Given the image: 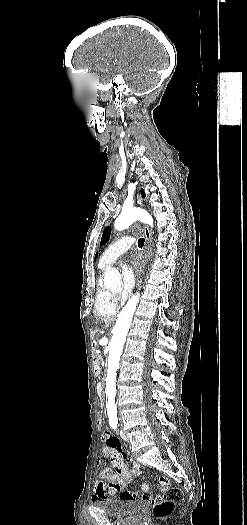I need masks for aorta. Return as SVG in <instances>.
<instances>
[{
	"mask_svg": "<svg viewBox=\"0 0 247 525\" xmlns=\"http://www.w3.org/2000/svg\"><path fill=\"white\" fill-rule=\"evenodd\" d=\"M137 220L151 226L153 224V218L148 212L141 208H131L122 211L115 220L114 227L116 230L121 231L128 228ZM103 281L107 287H117L121 283V276L118 270L109 268L104 275ZM138 302L139 294L137 293L127 302L119 314L115 327L112 330V339L108 344L109 355L106 377V408L110 422L117 421V407L115 404L116 375L119 368L122 349Z\"/></svg>",
	"mask_w": 247,
	"mask_h": 525,
	"instance_id": "obj_1",
	"label": "aorta"
}]
</instances>
